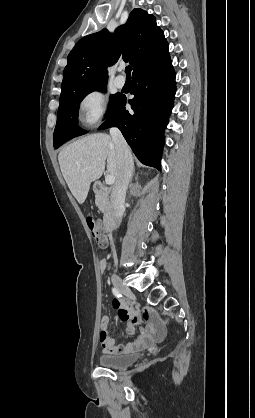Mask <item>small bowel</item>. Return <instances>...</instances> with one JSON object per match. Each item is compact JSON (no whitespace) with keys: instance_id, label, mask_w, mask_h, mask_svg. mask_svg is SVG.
Masks as SVG:
<instances>
[{"instance_id":"c3829d8e","label":"small bowel","mask_w":255,"mask_h":418,"mask_svg":"<svg viewBox=\"0 0 255 418\" xmlns=\"http://www.w3.org/2000/svg\"><path fill=\"white\" fill-rule=\"evenodd\" d=\"M99 268L102 272L106 271L109 268V262L106 259H102L99 263ZM112 305L117 311L119 319L128 321L127 332L129 334H134L136 325L141 320L151 322L150 314L145 313L141 315L138 307L134 304H126L118 299H114ZM100 326V346L103 353L111 355L129 353L133 350L143 348L150 342L161 340L166 334L165 326L162 323H152L149 328L142 331L141 335L134 342L126 345H115L114 338L108 333L109 318L106 315L102 316Z\"/></svg>"}]
</instances>
